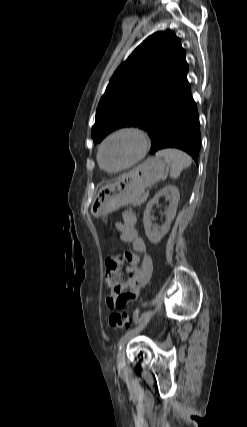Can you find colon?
Instances as JSON below:
<instances>
[{
  "mask_svg": "<svg viewBox=\"0 0 247 427\" xmlns=\"http://www.w3.org/2000/svg\"><path fill=\"white\" fill-rule=\"evenodd\" d=\"M123 259L124 256H112L106 261L105 283L111 289L117 287L121 282ZM109 323L113 328L127 329L132 324V318L128 313L115 312L110 315Z\"/></svg>",
  "mask_w": 247,
  "mask_h": 427,
  "instance_id": "5ec220e1",
  "label": "colon"
}]
</instances>
